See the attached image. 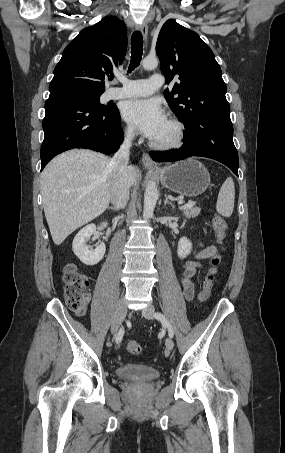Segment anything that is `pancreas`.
I'll list each match as a JSON object with an SVG mask.
<instances>
[{"label": "pancreas", "instance_id": "1", "mask_svg": "<svg viewBox=\"0 0 285 453\" xmlns=\"http://www.w3.org/2000/svg\"><path fill=\"white\" fill-rule=\"evenodd\" d=\"M201 209L199 207H190V208H183V215L190 219L195 218L199 215Z\"/></svg>", "mask_w": 285, "mask_h": 453}]
</instances>
